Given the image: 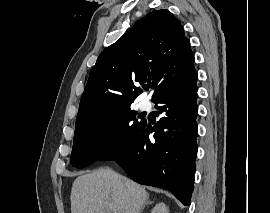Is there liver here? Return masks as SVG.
<instances>
[{
    "instance_id": "liver-1",
    "label": "liver",
    "mask_w": 270,
    "mask_h": 213,
    "mask_svg": "<svg viewBox=\"0 0 270 213\" xmlns=\"http://www.w3.org/2000/svg\"><path fill=\"white\" fill-rule=\"evenodd\" d=\"M145 188L111 169L78 176L71 189V213H140Z\"/></svg>"
}]
</instances>
